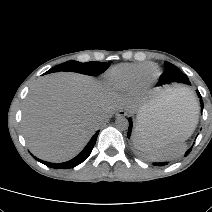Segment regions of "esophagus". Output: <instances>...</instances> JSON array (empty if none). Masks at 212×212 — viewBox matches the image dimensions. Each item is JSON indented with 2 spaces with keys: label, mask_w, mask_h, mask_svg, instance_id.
I'll list each match as a JSON object with an SVG mask.
<instances>
[{
  "label": "esophagus",
  "mask_w": 212,
  "mask_h": 212,
  "mask_svg": "<svg viewBox=\"0 0 212 212\" xmlns=\"http://www.w3.org/2000/svg\"><path fill=\"white\" fill-rule=\"evenodd\" d=\"M126 116V112L123 109H120L116 112V117H124Z\"/></svg>",
  "instance_id": "esophagus-1"
}]
</instances>
